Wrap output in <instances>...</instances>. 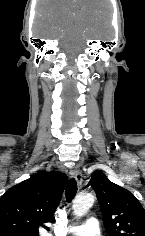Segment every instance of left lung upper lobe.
I'll return each mask as SVG.
<instances>
[{
    "label": "left lung upper lobe",
    "instance_id": "left-lung-upper-lobe-1",
    "mask_svg": "<svg viewBox=\"0 0 145 236\" xmlns=\"http://www.w3.org/2000/svg\"><path fill=\"white\" fill-rule=\"evenodd\" d=\"M90 185L97 194L109 236H145V210L130 191L100 171L93 173Z\"/></svg>",
    "mask_w": 145,
    "mask_h": 236
}]
</instances>
